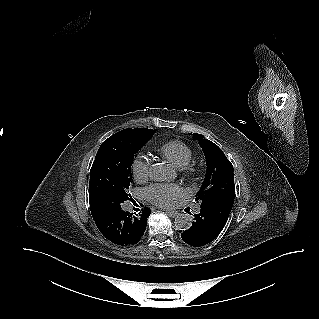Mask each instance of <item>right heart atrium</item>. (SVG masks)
<instances>
[{"label": "right heart atrium", "instance_id": "right-heart-atrium-1", "mask_svg": "<svg viewBox=\"0 0 319 319\" xmlns=\"http://www.w3.org/2000/svg\"><path fill=\"white\" fill-rule=\"evenodd\" d=\"M150 164V159L147 155L138 153L134 156L131 169L136 181L144 182L149 178Z\"/></svg>", "mask_w": 319, "mask_h": 319}]
</instances>
